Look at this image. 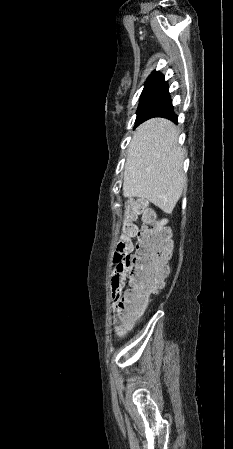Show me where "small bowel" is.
Listing matches in <instances>:
<instances>
[{
	"label": "small bowel",
	"instance_id": "1",
	"mask_svg": "<svg viewBox=\"0 0 233 449\" xmlns=\"http://www.w3.org/2000/svg\"><path fill=\"white\" fill-rule=\"evenodd\" d=\"M128 271L124 265L116 264L111 277L112 299L117 304L124 298L123 295Z\"/></svg>",
	"mask_w": 233,
	"mask_h": 449
}]
</instances>
